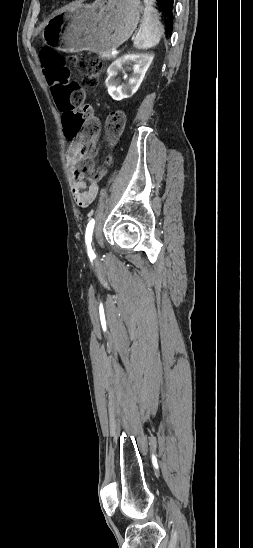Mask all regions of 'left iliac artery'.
<instances>
[{"label":"left iliac artery","mask_w":253,"mask_h":548,"mask_svg":"<svg viewBox=\"0 0 253 548\" xmlns=\"http://www.w3.org/2000/svg\"><path fill=\"white\" fill-rule=\"evenodd\" d=\"M94 225H95V220L94 219L90 220L88 225H87L86 233H85V242H86V245H87V251H88V255H89L90 258L95 257V253H94V251L92 249V246H91Z\"/></svg>","instance_id":"1"}]
</instances>
